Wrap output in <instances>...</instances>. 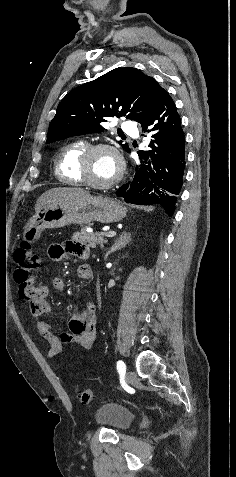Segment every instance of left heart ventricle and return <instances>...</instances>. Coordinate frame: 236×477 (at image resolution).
Returning <instances> with one entry per match:
<instances>
[{
  "label": "left heart ventricle",
  "mask_w": 236,
  "mask_h": 477,
  "mask_svg": "<svg viewBox=\"0 0 236 477\" xmlns=\"http://www.w3.org/2000/svg\"><path fill=\"white\" fill-rule=\"evenodd\" d=\"M118 172V162L108 150L95 152L88 164V175L94 182H107L112 180Z\"/></svg>",
  "instance_id": "obj_1"
}]
</instances>
